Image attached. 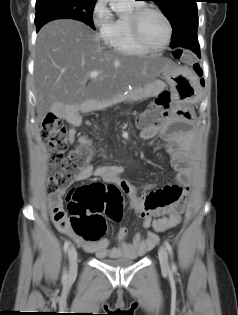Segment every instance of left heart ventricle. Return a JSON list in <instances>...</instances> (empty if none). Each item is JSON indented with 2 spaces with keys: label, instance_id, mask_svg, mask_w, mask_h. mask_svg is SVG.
I'll list each match as a JSON object with an SVG mask.
<instances>
[{
  "label": "left heart ventricle",
  "instance_id": "left-heart-ventricle-1",
  "mask_svg": "<svg viewBox=\"0 0 238 315\" xmlns=\"http://www.w3.org/2000/svg\"><path fill=\"white\" fill-rule=\"evenodd\" d=\"M143 39L152 46L163 44L167 37V27L164 20L156 13L149 12L141 20Z\"/></svg>",
  "mask_w": 238,
  "mask_h": 315
}]
</instances>
